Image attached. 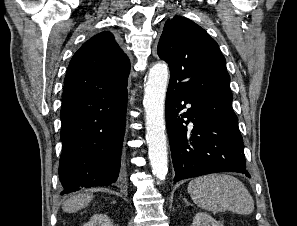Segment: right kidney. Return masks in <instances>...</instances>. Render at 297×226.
Segmentation results:
<instances>
[{
	"mask_svg": "<svg viewBox=\"0 0 297 226\" xmlns=\"http://www.w3.org/2000/svg\"><path fill=\"white\" fill-rule=\"evenodd\" d=\"M84 226H113L110 218L105 214H95Z\"/></svg>",
	"mask_w": 297,
	"mask_h": 226,
	"instance_id": "1",
	"label": "right kidney"
}]
</instances>
